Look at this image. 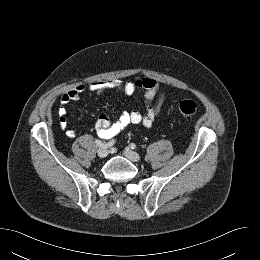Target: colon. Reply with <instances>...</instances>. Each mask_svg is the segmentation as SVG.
Instances as JSON below:
<instances>
[{
    "label": "colon",
    "mask_w": 260,
    "mask_h": 260,
    "mask_svg": "<svg viewBox=\"0 0 260 260\" xmlns=\"http://www.w3.org/2000/svg\"><path fill=\"white\" fill-rule=\"evenodd\" d=\"M179 111L187 117H191L197 112V104L193 100H182L179 103Z\"/></svg>",
    "instance_id": "colon-1"
}]
</instances>
